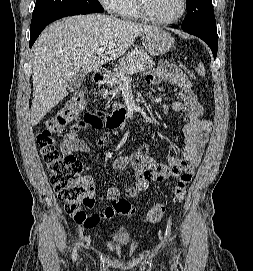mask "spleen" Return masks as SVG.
I'll return each instance as SVG.
<instances>
[{
    "label": "spleen",
    "instance_id": "obj_1",
    "mask_svg": "<svg viewBox=\"0 0 253 271\" xmlns=\"http://www.w3.org/2000/svg\"><path fill=\"white\" fill-rule=\"evenodd\" d=\"M197 72H198L199 75L205 76V68H204V65L202 63H200L198 65Z\"/></svg>",
    "mask_w": 253,
    "mask_h": 271
}]
</instances>
